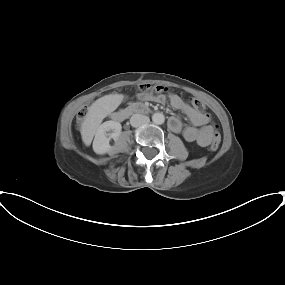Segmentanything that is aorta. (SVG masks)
<instances>
[{
	"label": "aorta",
	"instance_id": "762f6f07",
	"mask_svg": "<svg viewBox=\"0 0 285 285\" xmlns=\"http://www.w3.org/2000/svg\"><path fill=\"white\" fill-rule=\"evenodd\" d=\"M152 121L155 123V124H158V125H161L164 123L165 121V116L163 115V113H154L152 115Z\"/></svg>",
	"mask_w": 285,
	"mask_h": 285
}]
</instances>
